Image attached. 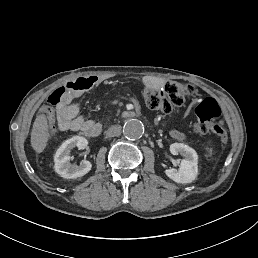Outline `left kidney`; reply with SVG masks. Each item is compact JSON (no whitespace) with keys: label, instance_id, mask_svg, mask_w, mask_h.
<instances>
[{"label":"left kidney","instance_id":"5707ae66","mask_svg":"<svg viewBox=\"0 0 258 258\" xmlns=\"http://www.w3.org/2000/svg\"><path fill=\"white\" fill-rule=\"evenodd\" d=\"M170 153L184 156L179 169H165V174L171 180L178 183H191L198 177V155L197 152L182 143H174L170 146Z\"/></svg>","mask_w":258,"mask_h":258}]
</instances>
